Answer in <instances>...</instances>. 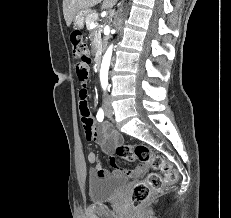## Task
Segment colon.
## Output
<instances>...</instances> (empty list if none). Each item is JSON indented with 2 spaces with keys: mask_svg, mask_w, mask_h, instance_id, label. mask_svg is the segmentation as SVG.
Returning <instances> with one entry per match:
<instances>
[{
  "mask_svg": "<svg viewBox=\"0 0 231 218\" xmlns=\"http://www.w3.org/2000/svg\"><path fill=\"white\" fill-rule=\"evenodd\" d=\"M72 54L78 60H90V51L80 31H73L70 35ZM87 58V59H86ZM116 153L128 161L138 160L142 164L155 169L149 173L132 189L130 201L135 207L140 206L152 193L160 191L164 186L174 184L178 180V173L159 154L143 144H120Z\"/></svg>",
  "mask_w": 231,
  "mask_h": 218,
  "instance_id": "obj_1",
  "label": "colon"
}]
</instances>
